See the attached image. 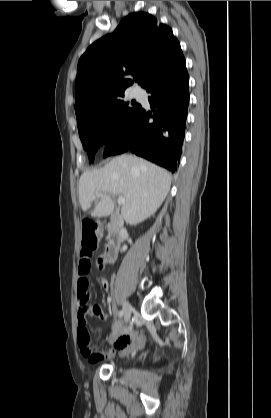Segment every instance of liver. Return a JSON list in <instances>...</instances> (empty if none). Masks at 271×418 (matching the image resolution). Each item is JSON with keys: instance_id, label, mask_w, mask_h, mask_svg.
I'll return each mask as SVG.
<instances>
[{"instance_id": "1", "label": "liver", "mask_w": 271, "mask_h": 418, "mask_svg": "<svg viewBox=\"0 0 271 418\" xmlns=\"http://www.w3.org/2000/svg\"><path fill=\"white\" fill-rule=\"evenodd\" d=\"M171 174L142 158L123 154L111 159L103 168L84 172L79 180V203L87 211L97 193L100 201L93 217L112 214L114 202L110 195L125 198L121 216L126 223L137 225L159 209L171 186Z\"/></svg>"}]
</instances>
